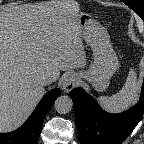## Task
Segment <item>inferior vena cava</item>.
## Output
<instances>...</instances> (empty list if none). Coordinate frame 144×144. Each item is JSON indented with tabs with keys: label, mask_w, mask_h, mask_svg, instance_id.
<instances>
[{
	"label": "inferior vena cava",
	"mask_w": 144,
	"mask_h": 144,
	"mask_svg": "<svg viewBox=\"0 0 144 144\" xmlns=\"http://www.w3.org/2000/svg\"><path fill=\"white\" fill-rule=\"evenodd\" d=\"M57 80V77L52 74V73H48V74H45L41 80H40V83L43 85V86H46V85H50L51 83H53L54 81Z\"/></svg>",
	"instance_id": "602c4592"
}]
</instances>
